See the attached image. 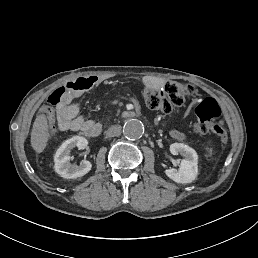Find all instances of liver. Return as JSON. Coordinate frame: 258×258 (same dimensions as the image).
I'll list each match as a JSON object with an SVG mask.
<instances>
[{
  "label": "liver",
  "instance_id": "1",
  "mask_svg": "<svg viewBox=\"0 0 258 258\" xmlns=\"http://www.w3.org/2000/svg\"><path fill=\"white\" fill-rule=\"evenodd\" d=\"M48 135L45 117H36L31 134V144L37 153H41L45 149Z\"/></svg>",
  "mask_w": 258,
  "mask_h": 258
}]
</instances>
